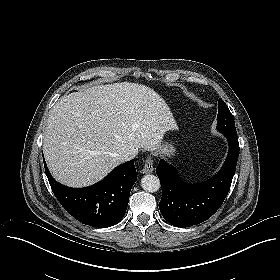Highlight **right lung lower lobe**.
Wrapping results in <instances>:
<instances>
[{"label": "right lung lower lobe", "mask_w": 280, "mask_h": 280, "mask_svg": "<svg viewBox=\"0 0 280 280\" xmlns=\"http://www.w3.org/2000/svg\"><path fill=\"white\" fill-rule=\"evenodd\" d=\"M52 191L66 211L83 224L106 228L125 215L130 191L136 181L134 159L111 171L103 180L87 188H69L56 182L46 167Z\"/></svg>", "instance_id": "right-lung-lower-lobe-1"}]
</instances>
